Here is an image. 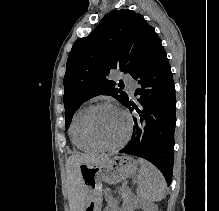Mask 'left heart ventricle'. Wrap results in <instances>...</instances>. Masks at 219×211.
I'll return each mask as SVG.
<instances>
[{
	"label": "left heart ventricle",
	"instance_id": "b2bd125f",
	"mask_svg": "<svg viewBox=\"0 0 219 211\" xmlns=\"http://www.w3.org/2000/svg\"><path fill=\"white\" fill-rule=\"evenodd\" d=\"M126 128V119L114 108L101 107L93 114V133L97 139L104 143H117L125 134Z\"/></svg>",
	"mask_w": 219,
	"mask_h": 211
}]
</instances>
